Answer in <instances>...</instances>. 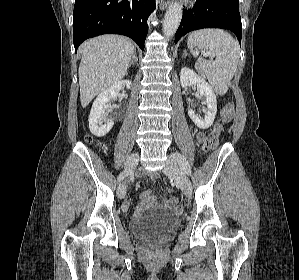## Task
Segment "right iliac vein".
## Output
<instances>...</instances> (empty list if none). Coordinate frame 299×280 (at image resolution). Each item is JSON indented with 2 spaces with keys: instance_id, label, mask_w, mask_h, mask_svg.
Returning <instances> with one entry per match:
<instances>
[{
  "instance_id": "1",
  "label": "right iliac vein",
  "mask_w": 299,
  "mask_h": 280,
  "mask_svg": "<svg viewBox=\"0 0 299 280\" xmlns=\"http://www.w3.org/2000/svg\"><path fill=\"white\" fill-rule=\"evenodd\" d=\"M139 161V154L138 153H134L132 154L129 159L127 160L126 164H125V171H130L133 170L137 163ZM117 194L119 198H124L126 195V184L125 182H122L117 189Z\"/></svg>"
}]
</instances>
